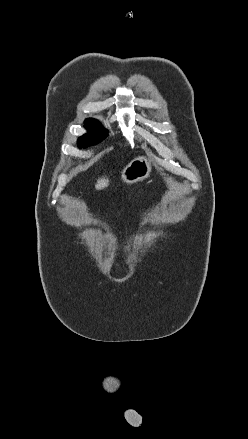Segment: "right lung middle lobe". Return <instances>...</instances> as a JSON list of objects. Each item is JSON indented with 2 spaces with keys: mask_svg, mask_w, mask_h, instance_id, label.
Instances as JSON below:
<instances>
[{
  "mask_svg": "<svg viewBox=\"0 0 248 439\" xmlns=\"http://www.w3.org/2000/svg\"><path fill=\"white\" fill-rule=\"evenodd\" d=\"M85 128L89 132L78 139V145L80 147L95 145L101 142V140L106 137V131L95 119H86Z\"/></svg>",
  "mask_w": 248,
  "mask_h": 439,
  "instance_id": "dd1d6c3e",
  "label": "right lung middle lobe"
}]
</instances>
